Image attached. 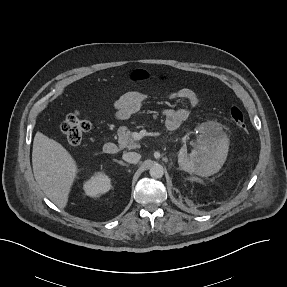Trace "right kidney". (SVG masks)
<instances>
[{
    "mask_svg": "<svg viewBox=\"0 0 287 287\" xmlns=\"http://www.w3.org/2000/svg\"><path fill=\"white\" fill-rule=\"evenodd\" d=\"M83 189L87 196L100 197L111 189V180L106 174L98 172L84 183Z\"/></svg>",
    "mask_w": 287,
    "mask_h": 287,
    "instance_id": "obj_1",
    "label": "right kidney"
}]
</instances>
